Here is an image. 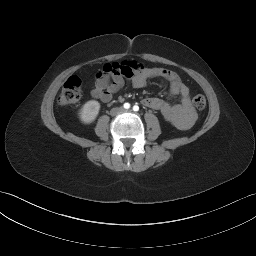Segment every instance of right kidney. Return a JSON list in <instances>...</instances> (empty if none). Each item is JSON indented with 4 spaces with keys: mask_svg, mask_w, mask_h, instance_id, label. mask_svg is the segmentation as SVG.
<instances>
[{
    "mask_svg": "<svg viewBox=\"0 0 256 256\" xmlns=\"http://www.w3.org/2000/svg\"><path fill=\"white\" fill-rule=\"evenodd\" d=\"M100 110V103L95 100L87 101L79 111V118L84 124L92 123Z\"/></svg>",
    "mask_w": 256,
    "mask_h": 256,
    "instance_id": "right-kidney-1",
    "label": "right kidney"
}]
</instances>
